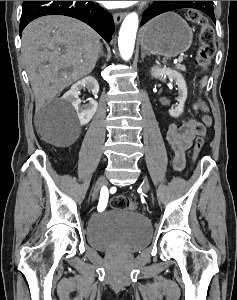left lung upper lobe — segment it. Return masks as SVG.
<instances>
[{
    "label": "left lung upper lobe",
    "mask_w": 237,
    "mask_h": 300,
    "mask_svg": "<svg viewBox=\"0 0 237 300\" xmlns=\"http://www.w3.org/2000/svg\"><path fill=\"white\" fill-rule=\"evenodd\" d=\"M173 2L171 1H154L153 5L151 8L144 13L143 19L141 21V24H145L148 20L151 18L162 14L167 11H171L174 9H177L179 7L173 6ZM202 6L201 1H188L183 4V8H195L198 9V7Z\"/></svg>",
    "instance_id": "1"
}]
</instances>
